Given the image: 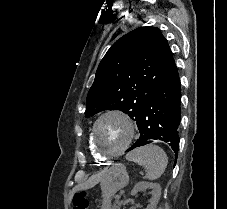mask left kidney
Instances as JSON below:
<instances>
[{"instance_id":"1","label":"left kidney","mask_w":227,"mask_h":209,"mask_svg":"<svg viewBox=\"0 0 227 209\" xmlns=\"http://www.w3.org/2000/svg\"><path fill=\"white\" fill-rule=\"evenodd\" d=\"M145 189H152V197L149 201V205H147V209H156L161 195V187L158 183L139 181V183H136L134 189H132L131 195H137L139 191H145Z\"/></svg>"}]
</instances>
